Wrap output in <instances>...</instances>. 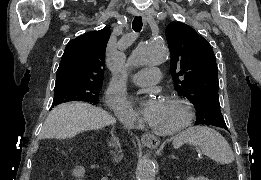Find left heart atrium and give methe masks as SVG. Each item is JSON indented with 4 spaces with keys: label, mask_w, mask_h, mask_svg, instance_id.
Here are the masks:
<instances>
[{
    "label": "left heart atrium",
    "mask_w": 261,
    "mask_h": 180,
    "mask_svg": "<svg viewBox=\"0 0 261 180\" xmlns=\"http://www.w3.org/2000/svg\"><path fill=\"white\" fill-rule=\"evenodd\" d=\"M160 104V100L154 95H148L135 100L131 107L132 112L146 122L151 118Z\"/></svg>",
    "instance_id": "39dd6f15"
}]
</instances>
